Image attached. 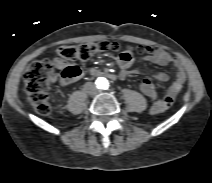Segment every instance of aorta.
Listing matches in <instances>:
<instances>
[{
    "instance_id": "obj_1",
    "label": "aorta",
    "mask_w": 212,
    "mask_h": 183,
    "mask_svg": "<svg viewBox=\"0 0 212 183\" xmlns=\"http://www.w3.org/2000/svg\"><path fill=\"white\" fill-rule=\"evenodd\" d=\"M96 85L100 90H107L109 87V81L105 77H98L96 80Z\"/></svg>"
}]
</instances>
